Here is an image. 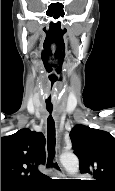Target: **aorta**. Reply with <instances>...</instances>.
<instances>
[{
    "mask_svg": "<svg viewBox=\"0 0 115 191\" xmlns=\"http://www.w3.org/2000/svg\"><path fill=\"white\" fill-rule=\"evenodd\" d=\"M60 161L68 174L75 175L79 169V160L76 155L72 153H63Z\"/></svg>",
    "mask_w": 115,
    "mask_h": 191,
    "instance_id": "aorta-1",
    "label": "aorta"
}]
</instances>
